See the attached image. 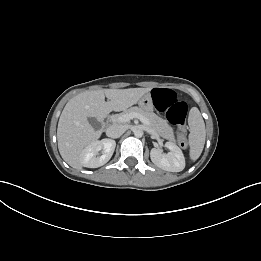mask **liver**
<instances>
[{
    "instance_id": "liver-1",
    "label": "liver",
    "mask_w": 261,
    "mask_h": 261,
    "mask_svg": "<svg viewBox=\"0 0 261 261\" xmlns=\"http://www.w3.org/2000/svg\"><path fill=\"white\" fill-rule=\"evenodd\" d=\"M150 90L100 89L86 91L70 99L61 113L57 128L58 149L62 158L71 167L81 169L83 149L101 136V132L95 131L88 119L102 121L111 111H123L136 104Z\"/></svg>"
}]
</instances>
